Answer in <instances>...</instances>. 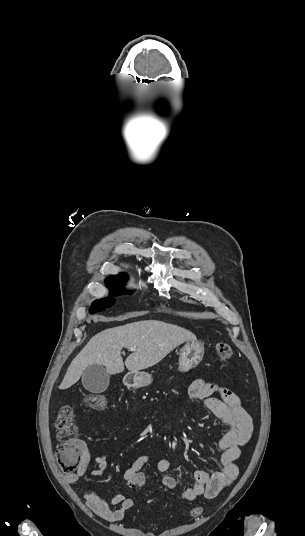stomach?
<instances>
[{
	"mask_svg": "<svg viewBox=\"0 0 305 536\" xmlns=\"http://www.w3.org/2000/svg\"><path fill=\"white\" fill-rule=\"evenodd\" d=\"M204 356V344L198 340H188L180 350L179 370L180 372H188L192 368H196L200 364ZM125 384L132 388H143L149 386L152 382L151 374L147 372H135V374H127Z\"/></svg>",
	"mask_w": 305,
	"mask_h": 536,
	"instance_id": "obj_1",
	"label": "stomach"
}]
</instances>
